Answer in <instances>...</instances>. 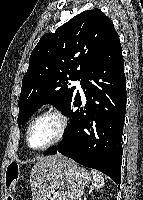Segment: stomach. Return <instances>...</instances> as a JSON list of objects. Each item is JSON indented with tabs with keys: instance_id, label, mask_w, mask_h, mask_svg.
Wrapping results in <instances>:
<instances>
[{
	"instance_id": "1",
	"label": "stomach",
	"mask_w": 143,
	"mask_h": 200,
	"mask_svg": "<svg viewBox=\"0 0 143 200\" xmlns=\"http://www.w3.org/2000/svg\"><path fill=\"white\" fill-rule=\"evenodd\" d=\"M91 181L90 173L76 163L67 164L51 177L42 200H76Z\"/></svg>"
}]
</instances>
